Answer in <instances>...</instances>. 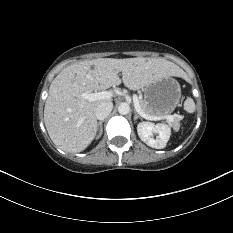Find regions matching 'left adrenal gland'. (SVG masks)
<instances>
[{
    "instance_id": "obj_1",
    "label": "left adrenal gland",
    "mask_w": 233,
    "mask_h": 233,
    "mask_svg": "<svg viewBox=\"0 0 233 233\" xmlns=\"http://www.w3.org/2000/svg\"><path fill=\"white\" fill-rule=\"evenodd\" d=\"M137 119H141L142 118L137 114V112L134 110V121H136Z\"/></svg>"
}]
</instances>
